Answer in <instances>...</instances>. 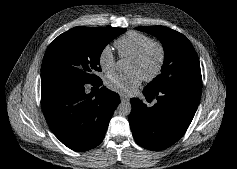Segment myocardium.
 Here are the masks:
<instances>
[{
	"label": "myocardium",
	"instance_id": "myocardium-1",
	"mask_svg": "<svg viewBox=\"0 0 237 169\" xmlns=\"http://www.w3.org/2000/svg\"><path fill=\"white\" fill-rule=\"evenodd\" d=\"M151 50H156L158 52V62L156 66L154 67V69L148 75L142 77L145 81H152L161 72L164 65L165 56H166L164 46L158 41H152L148 45H146L142 50H140L138 53L131 56V59L133 60L143 61Z\"/></svg>",
	"mask_w": 237,
	"mask_h": 169
}]
</instances>
